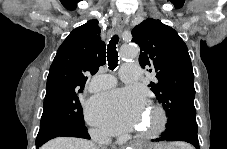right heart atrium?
Wrapping results in <instances>:
<instances>
[{
	"mask_svg": "<svg viewBox=\"0 0 227 149\" xmlns=\"http://www.w3.org/2000/svg\"><path fill=\"white\" fill-rule=\"evenodd\" d=\"M90 134L94 139H97L99 141H102L105 138L104 134L97 129H91Z\"/></svg>",
	"mask_w": 227,
	"mask_h": 149,
	"instance_id": "d8ad5b80",
	"label": "right heart atrium"
}]
</instances>
